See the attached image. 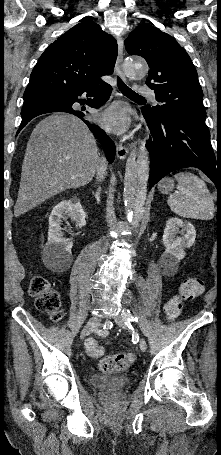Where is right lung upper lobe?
<instances>
[{
    "mask_svg": "<svg viewBox=\"0 0 221 455\" xmlns=\"http://www.w3.org/2000/svg\"><path fill=\"white\" fill-rule=\"evenodd\" d=\"M118 47L91 21L64 33L41 55L24 92V106L55 99L72 88L113 73Z\"/></svg>",
    "mask_w": 221,
    "mask_h": 455,
    "instance_id": "1",
    "label": "right lung upper lobe"
}]
</instances>
